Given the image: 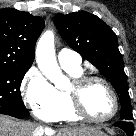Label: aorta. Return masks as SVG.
<instances>
[{
	"label": "aorta",
	"instance_id": "762f6f07",
	"mask_svg": "<svg viewBox=\"0 0 136 136\" xmlns=\"http://www.w3.org/2000/svg\"><path fill=\"white\" fill-rule=\"evenodd\" d=\"M36 61L41 73L56 88L64 89L67 78L62 74L57 63L54 47V33L50 30L43 33L36 47Z\"/></svg>",
	"mask_w": 136,
	"mask_h": 136
}]
</instances>
